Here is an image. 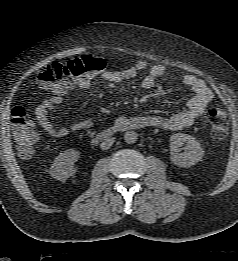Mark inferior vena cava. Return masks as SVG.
Instances as JSON below:
<instances>
[{
	"mask_svg": "<svg viewBox=\"0 0 238 261\" xmlns=\"http://www.w3.org/2000/svg\"><path fill=\"white\" fill-rule=\"evenodd\" d=\"M113 143H114V138H107L104 141H102V143L100 144V148L102 150H107L112 146Z\"/></svg>",
	"mask_w": 238,
	"mask_h": 261,
	"instance_id": "obj_1",
	"label": "inferior vena cava"
}]
</instances>
